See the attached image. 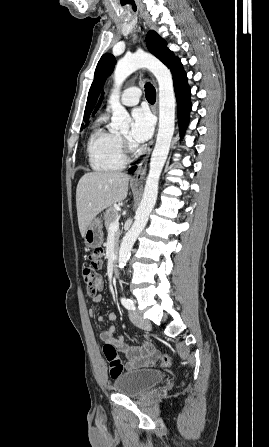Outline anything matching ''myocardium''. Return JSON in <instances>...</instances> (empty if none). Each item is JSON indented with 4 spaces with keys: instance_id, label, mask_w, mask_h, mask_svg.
<instances>
[{
    "instance_id": "obj_1",
    "label": "myocardium",
    "mask_w": 269,
    "mask_h": 447,
    "mask_svg": "<svg viewBox=\"0 0 269 447\" xmlns=\"http://www.w3.org/2000/svg\"><path fill=\"white\" fill-rule=\"evenodd\" d=\"M123 146L126 148V152L129 154H135L136 153V146L129 140V138L122 137L121 138ZM130 157L125 156V160H129Z\"/></svg>"
}]
</instances>
